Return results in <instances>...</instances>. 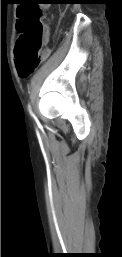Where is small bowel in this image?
<instances>
[{
    "mask_svg": "<svg viewBox=\"0 0 122 257\" xmlns=\"http://www.w3.org/2000/svg\"><path fill=\"white\" fill-rule=\"evenodd\" d=\"M48 53H49V51H48V50H45V51L43 52V58L46 57V56L48 55Z\"/></svg>",
    "mask_w": 122,
    "mask_h": 257,
    "instance_id": "obj_1",
    "label": "small bowel"
}]
</instances>
